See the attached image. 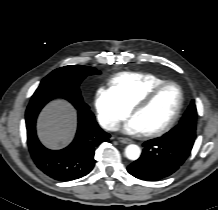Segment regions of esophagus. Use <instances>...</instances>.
Masks as SVG:
<instances>
[{"mask_svg":"<svg viewBox=\"0 0 218 210\" xmlns=\"http://www.w3.org/2000/svg\"><path fill=\"white\" fill-rule=\"evenodd\" d=\"M118 141L121 142V143H124V144H130L132 143V140L129 139V138H124V137H119L118 138Z\"/></svg>","mask_w":218,"mask_h":210,"instance_id":"34e87169","label":"esophagus"}]
</instances>
